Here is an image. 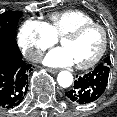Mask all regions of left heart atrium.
I'll list each match as a JSON object with an SVG mask.
<instances>
[{
	"label": "left heart atrium",
	"instance_id": "1",
	"mask_svg": "<svg viewBox=\"0 0 117 117\" xmlns=\"http://www.w3.org/2000/svg\"><path fill=\"white\" fill-rule=\"evenodd\" d=\"M44 64L52 67L71 66L75 64L70 51L65 48H57L49 52L44 60Z\"/></svg>",
	"mask_w": 117,
	"mask_h": 117
}]
</instances>
